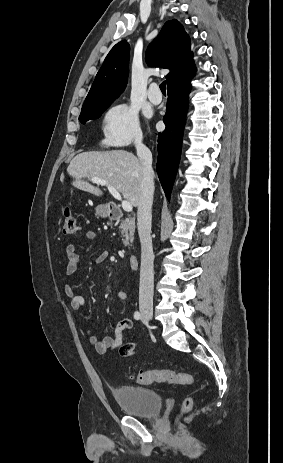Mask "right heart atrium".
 I'll return each mask as SVG.
<instances>
[{
  "label": "right heart atrium",
  "instance_id": "1",
  "mask_svg": "<svg viewBox=\"0 0 283 463\" xmlns=\"http://www.w3.org/2000/svg\"><path fill=\"white\" fill-rule=\"evenodd\" d=\"M101 131L102 142L109 146L140 144L143 138L137 110L126 103L115 104L106 110Z\"/></svg>",
  "mask_w": 283,
  "mask_h": 463
}]
</instances>
